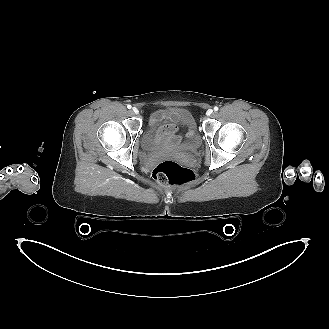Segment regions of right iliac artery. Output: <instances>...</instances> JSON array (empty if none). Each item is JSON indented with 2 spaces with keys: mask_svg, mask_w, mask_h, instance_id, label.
Masks as SVG:
<instances>
[{
  "mask_svg": "<svg viewBox=\"0 0 329 329\" xmlns=\"http://www.w3.org/2000/svg\"><path fill=\"white\" fill-rule=\"evenodd\" d=\"M131 107H132L131 105H128V106H127L128 109H131Z\"/></svg>",
  "mask_w": 329,
  "mask_h": 329,
  "instance_id": "82829eb1",
  "label": "right iliac artery"
}]
</instances>
